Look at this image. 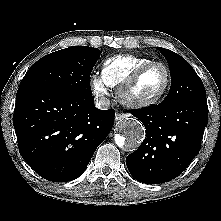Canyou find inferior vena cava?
<instances>
[{
    "label": "inferior vena cava",
    "instance_id": "602c4592",
    "mask_svg": "<svg viewBox=\"0 0 221 221\" xmlns=\"http://www.w3.org/2000/svg\"><path fill=\"white\" fill-rule=\"evenodd\" d=\"M95 106L98 109H108V107L110 106V100L105 97L98 98L95 101Z\"/></svg>",
    "mask_w": 221,
    "mask_h": 221
}]
</instances>
